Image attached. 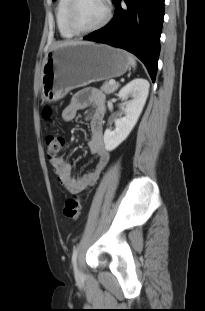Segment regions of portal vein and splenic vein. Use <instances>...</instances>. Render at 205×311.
Masks as SVG:
<instances>
[{
    "mask_svg": "<svg viewBox=\"0 0 205 311\" xmlns=\"http://www.w3.org/2000/svg\"><path fill=\"white\" fill-rule=\"evenodd\" d=\"M115 80H110V84H115Z\"/></svg>",
    "mask_w": 205,
    "mask_h": 311,
    "instance_id": "1",
    "label": "portal vein and splenic vein"
}]
</instances>
